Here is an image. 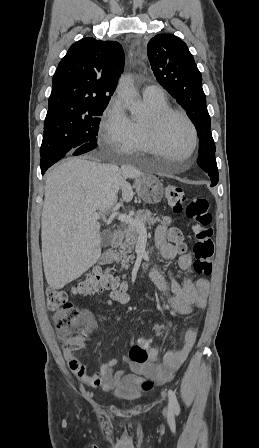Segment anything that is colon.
I'll return each instance as SVG.
<instances>
[{"instance_id":"colon-1","label":"colon","mask_w":259,"mask_h":448,"mask_svg":"<svg viewBox=\"0 0 259 448\" xmlns=\"http://www.w3.org/2000/svg\"><path fill=\"white\" fill-rule=\"evenodd\" d=\"M164 197L176 213H184L193 223L196 239L193 247L195 256L194 269L198 274L209 275L212 272L214 258V242L212 216L208 209V201L203 197L187 200L184 190L175 184H167ZM165 222H168L166 219ZM171 241L178 244L183 251V234L172 227L169 231ZM105 291L111 293L126 292V285L114 274L105 270H94L72 288V293L89 296ZM47 307L52 314L53 323L67 350L80 349L94 326L91 314L69 302L68 293L62 289L48 288L46 291ZM148 340L141 339L132 346L129 357L132 362L145 363L148 360Z\"/></svg>"}]
</instances>
